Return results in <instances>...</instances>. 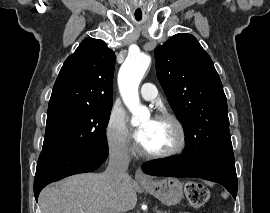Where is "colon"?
<instances>
[{"label":"colon","mask_w":270,"mask_h":213,"mask_svg":"<svg viewBox=\"0 0 270 213\" xmlns=\"http://www.w3.org/2000/svg\"><path fill=\"white\" fill-rule=\"evenodd\" d=\"M184 191L189 203L193 207L202 206L209 198L208 189L200 182H187L185 184Z\"/></svg>","instance_id":"colon-1"}]
</instances>
